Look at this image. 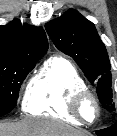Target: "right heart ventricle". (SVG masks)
I'll list each match as a JSON object with an SVG mask.
<instances>
[{
    "mask_svg": "<svg viewBox=\"0 0 117 136\" xmlns=\"http://www.w3.org/2000/svg\"><path fill=\"white\" fill-rule=\"evenodd\" d=\"M87 85L76 66L62 56L50 57L28 85L23 109L33 116H49L80 125L68 110L71 96Z\"/></svg>",
    "mask_w": 117,
    "mask_h": 136,
    "instance_id": "obj_1",
    "label": "right heart ventricle"
}]
</instances>
